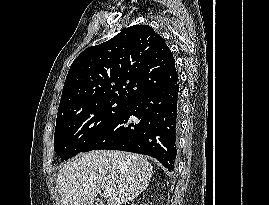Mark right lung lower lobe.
<instances>
[{"mask_svg": "<svg viewBox=\"0 0 269 205\" xmlns=\"http://www.w3.org/2000/svg\"><path fill=\"white\" fill-rule=\"evenodd\" d=\"M179 97V83L138 96L128 102L123 113L82 152L109 149L145 154L173 171L177 155Z\"/></svg>", "mask_w": 269, "mask_h": 205, "instance_id": "98d812e1", "label": "right lung lower lobe"}]
</instances>
